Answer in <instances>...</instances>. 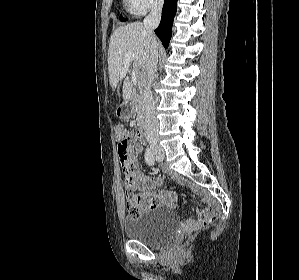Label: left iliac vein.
I'll return each instance as SVG.
<instances>
[{
  "instance_id": "obj_1",
  "label": "left iliac vein",
  "mask_w": 299,
  "mask_h": 280,
  "mask_svg": "<svg viewBox=\"0 0 299 280\" xmlns=\"http://www.w3.org/2000/svg\"><path fill=\"white\" fill-rule=\"evenodd\" d=\"M155 159H156V161H158V162L163 161V159H164V154L161 153V152L156 153V154H155Z\"/></svg>"
}]
</instances>
